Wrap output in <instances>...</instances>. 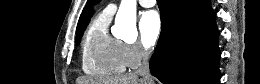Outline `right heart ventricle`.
Returning a JSON list of instances; mask_svg holds the SVG:
<instances>
[{
    "label": "right heart ventricle",
    "mask_w": 260,
    "mask_h": 84,
    "mask_svg": "<svg viewBox=\"0 0 260 84\" xmlns=\"http://www.w3.org/2000/svg\"><path fill=\"white\" fill-rule=\"evenodd\" d=\"M112 15L101 12L88 28L82 45V69L93 78H108L125 71L123 43L109 33Z\"/></svg>",
    "instance_id": "right-heart-ventricle-1"
}]
</instances>
